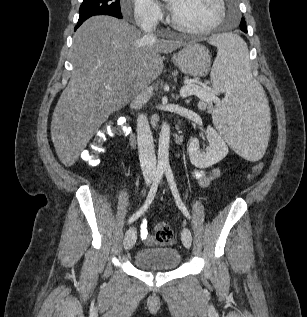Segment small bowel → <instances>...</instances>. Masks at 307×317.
<instances>
[{"label":"small bowel","mask_w":307,"mask_h":317,"mask_svg":"<svg viewBox=\"0 0 307 317\" xmlns=\"http://www.w3.org/2000/svg\"><path fill=\"white\" fill-rule=\"evenodd\" d=\"M194 177L198 180L201 186H207L209 183L216 179L220 175L219 168H213L210 171L195 170L193 172ZM140 237L143 240H149L150 234L148 232V225L146 222H143L140 227Z\"/></svg>","instance_id":"c3829d8e"}]
</instances>
